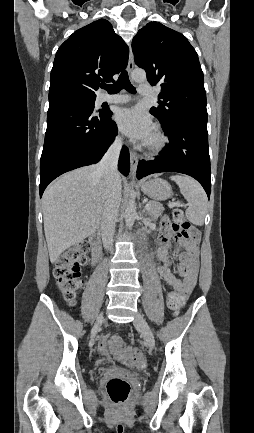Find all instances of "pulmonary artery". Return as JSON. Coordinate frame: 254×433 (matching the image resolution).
Segmentation results:
<instances>
[{
	"label": "pulmonary artery",
	"mask_w": 254,
	"mask_h": 433,
	"mask_svg": "<svg viewBox=\"0 0 254 433\" xmlns=\"http://www.w3.org/2000/svg\"><path fill=\"white\" fill-rule=\"evenodd\" d=\"M138 91L141 95H144V96L154 94V90L148 84L139 85ZM129 100H130L129 95H111V96L110 95H104L102 98V101H104V102H110V103H116V104L127 103Z\"/></svg>",
	"instance_id": "pulmonary-artery-1"
}]
</instances>
